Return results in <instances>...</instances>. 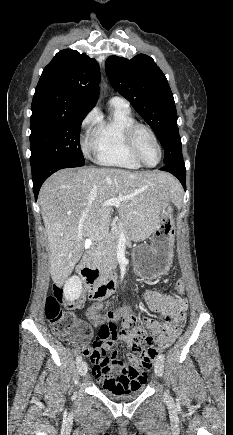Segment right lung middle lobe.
<instances>
[{"instance_id":"obj_1","label":"right lung middle lobe","mask_w":233,"mask_h":435,"mask_svg":"<svg viewBox=\"0 0 233 435\" xmlns=\"http://www.w3.org/2000/svg\"><path fill=\"white\" fill-rule=\"evenodd\" d=\"M86 115H40L31 117V167L60 160L83 166L80 128Z\"/></svg>"}]
</instances>
